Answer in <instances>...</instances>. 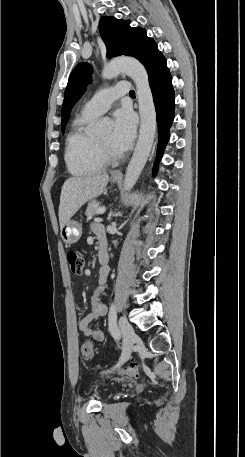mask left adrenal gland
I'll use <instances>...</instances> for the list:
<instances>
[{
	"mask_svg": "<svg viewBox=\"0 0 245 457\" xmlns=\"http://www.w3.org/2000/svg\"><path fill=\"white\" fill-rule=\"evenodd\" d=\"M110 216H112V212H110V214H109V218H110Z\"/></svg>",
	"mask_w": 245,
	"mask_h": 457,
	"instance_id": "obj_1",
	"label": "left adrenal gland"
}]
</instances>
